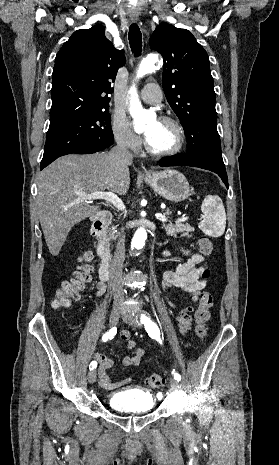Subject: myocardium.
I'll return each mask as SVG.
<instances>
[{
    "label": "myocardium",
    "mask_w": 279,
    "mask_h": 465,
    "mask_svg": "<svg viewBox=\"0 0 279 465\" xmlns=\"http://www.w3.org/2000/svg\"><path fill=\"white\" fill-rule=\"evenodd\" d=\"M159 121L170 124L174 127V129L176 130V135H177L176 143L169 150L155 151L150 147L147 139L145 138V141H144L145 150L147 151L149 155L156 157V158H165V157L174 156L182 150L184 143H185V132H184L183 126L178 120L170 116H162L159 118Z\"/></svg>",
    "instance_id": "myocardium-1"
}]
</instances>
